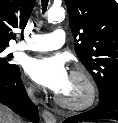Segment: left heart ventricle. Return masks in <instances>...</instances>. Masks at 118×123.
Returning a JSON list of instances; mask_svg holds the SVG:
<instances>
[{
    "label": "left heart ventricle",
    "mask_w": 118,
    "mask_h": 123,
    "mask_svg": "<svg viewBox=\"0 0 118 123\" xmlns=\"http://www.w3.org/2000/svg\"><path fill=\"white\" fill-rule=\"evenodd\" d=\"M86 88L82 81L70 77L67 86L59 93L64 99L77 102L84 98Z\"/></svg>",
    "instance_id": "obj_1"
}]
</instances>
